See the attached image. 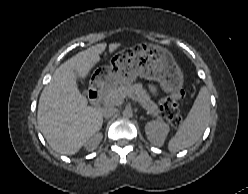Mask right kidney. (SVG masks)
Wrapping results in <instances>:
<instances>
[{"instance_id": "obj_1", "label": "right kidney", "mask_w": 248, "mask_h": 194, "mask_svg": "<svg viewBox=\"0 0 248 194\" xmlns=\"http://www.w3.org/2000/svg\"><path fill=\"white\" fill-rule=\"evenodd\" d=\"M102 140V134L101 133H97L93 138H91V140L87 143V148L90 149H94Z\"/></svg>"}]
</instances>
